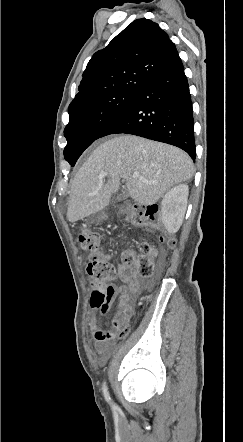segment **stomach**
I'll return each instance as SVG.
<instances>
[{
  "instance_id": "1",
  "label": "stomach",
  "mask_w": 243,
  "mask_h": 442,
  "mask_svg": "<svg viewBox=\"0 0 243 442\" xmlns=\"http://www.w3.org/2000/svg\"><path fill=\"white\" fill-rule=\"evenodd\" d=\"M107 218V214L105 212H100L92 216V221L99 223Z\"/></svg>"
}]
</instances>
